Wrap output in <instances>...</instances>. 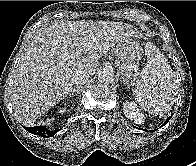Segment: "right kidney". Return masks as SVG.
I'll use <instances>...</instances> for the list:
<instances>
[{
	"label": "right kidney",
	"instance_id": "ca27d5eb",
	"mask_svg": "<svg viewBox=\"0 0 196 166\" xmlns=\"http://www.w3.org/2000/svg\"><path fill=\"white\" fill-rule=\"evenodd\" d=\"M64 112H66V108H60V110L57 113L63 114Z\"/></svg>",
	"mask_w": 196,
	"mask_h": 166
}]
</instances>
